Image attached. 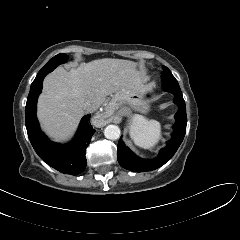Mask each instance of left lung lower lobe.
Here are the masks:
<instances>
[{"label": "left lung lower lobe", "mask_w": 240, "mask_h": 240, "mask_svg": "<svg viewBox=\"0 0 240 240\" xmlns=\"http://www.w3.org/2000/svg\"><path fill=\"white\" fill-rule=\"evenodd\" d=\"M163 88L166 91L174 94V103L179 106V110L175 115L176 123L173 125L174 132L172 133V139L168 141L167 146L160 151L157 159L150 161L137 157L133 152L130 151L129 148L125 146L120 138L118 143L117 159L119 164L127 170L133 172H144L152 171L161 167L175 154L183 141L186 132L187 117L185 101L183 99L179 84L163 83Z\"/></svg>", "instance_id": "obj_1"}]
</instances>
